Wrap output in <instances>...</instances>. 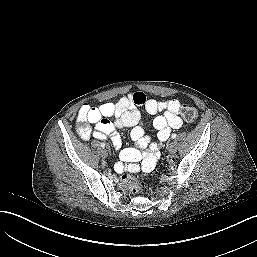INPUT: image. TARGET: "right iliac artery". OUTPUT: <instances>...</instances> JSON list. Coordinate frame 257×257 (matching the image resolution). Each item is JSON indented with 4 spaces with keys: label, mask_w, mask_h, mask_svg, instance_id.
Listing matches in <instances>:
<instances>
[{
    "label": "right iliac artery",
    "mask_w": 257,
    "mask_h": 257,
    "mask_svg": "<svg viewBox=\"0 0 257 257\" xmlns=\"http://www.w3.org/2000/svg\"><path fill=\"white\" fill-rule=\"evenodd\" d=\"M101 147L104 148L105 147V143L102 142L101 143Z\"/></svg>",
    "instance_id": "obj_1"
}]
</instances>
